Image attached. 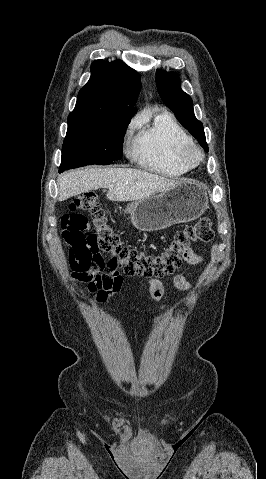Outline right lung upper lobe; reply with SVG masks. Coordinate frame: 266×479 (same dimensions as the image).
I'll return each mask as SVG.
<instances>
[{
	"label": "right lung upper lobe",
	"instance_id": "obj_1",
	"mask_svg": "<svg viewBox=\"0 0 266 479\" xmlns=\"http://www.w3.org/2000/svg\"><path fill=\"white\" fill-rule=\"evenodd\" d=\"M141 87L138 73L121 60H97L91 77L79 91L69 117H111L131 119Z\"/></svg>",
	"mask_w": 266,
	"mask_h": 479
}]
</instances>
